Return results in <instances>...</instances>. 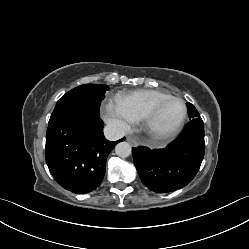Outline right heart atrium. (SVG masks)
Here are the masks:
<instances>
[{
  "instance_id": "right-heart-atrium-1",
  "label": "right heart atrium",
  "mask_w": 249,
  "mask_h": 249,
  "mask_svg": "<svg viewBox=\"0 0 249 249\" xmlns=\"http://www.w3.org/2000/svg\"><path fill=\"white\" fill-rule=\"evenodd\" d=\"M105 122L117 133H125L136 122V118L117 100H108L102 106Z\"/></svg>"
}]
</instances>
